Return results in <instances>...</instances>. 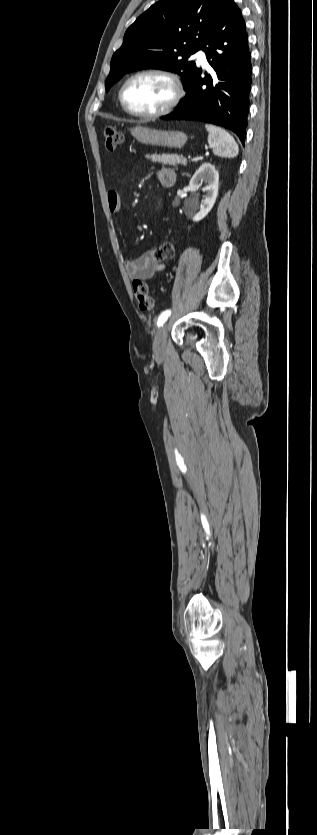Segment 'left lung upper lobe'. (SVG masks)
I'll return each instance as SVG.
<instances>
[{
    "mask_svg": "<svg viewBox=\"0 0 317 835\" xmlns=\"http://www.w3.org/2000/svg\"><path fill=\"white\" fill-rule=\"evenodd\" d=\"M231 0H161L127 29L112 57L106 91L124 74L146 68L172 71L185 87L197 69L188 57L210 38Z\"/></svg>",
    "mask_w": 317,
    "mask_h": 835,
    "instance_id": "left-lung-upper-lobe-1",
    "label": "left lung upper lobe"
}]
</instances>
